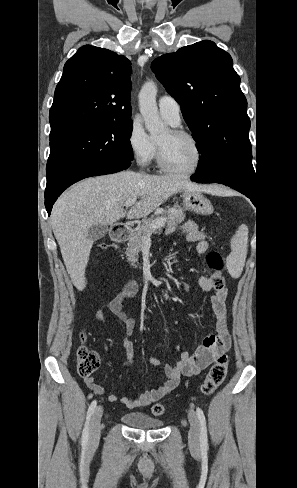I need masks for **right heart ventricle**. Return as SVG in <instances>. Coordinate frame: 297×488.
<instances>
[{
    "label": "right heart ventricle",
    "mask_w": 297,
    "mask_h": 488,
    "mask_svg": "<svg viewBox=\"0 0 297 488\" xmlns=\"http://www.w3.org/2000/svg\"><path fill=\"white\" fill-rule=\"evenodd\" d=\"M156 152H157V147H156V150H155V154H156Z\"/></svg>",
    "instance_id": "1"
}]
</instances>
